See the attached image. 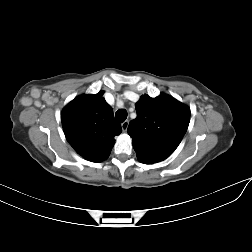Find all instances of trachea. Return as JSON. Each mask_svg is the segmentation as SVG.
I'll return each mask as SVG.
<instances>
[{
  "label": "trachea",
  "mask_w": 252,
  "mask_h": 252,
  "mask_svg": "<svg viewBox=\"0 0 252 252\" xmlns=\"http://www.w3.org/2000/svg\"><path fill=\"white\" fill-rule=\"evenodd\" d=\"M115 118L119 122H124L127 118V111L125 109H120L115 113Z\"/></svg>",
  "instance_id": "1"
}]
</instances>
